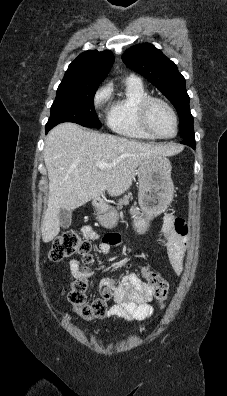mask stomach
I'll return each instance as SVG.
<instances>
[{"mask_svg": "<svg viewBox=\"0 0 227 396\" xmlns=\"http://www.w3.org/2000/svg\"><path fill=\"white\" fill-rule=\"evenodd\" d=\"M172 166L165 156H154L144 160L136 170L138 176V202L145 218L134 222L137 233L144 234L149 220L166 210L174 196V184L171 179ZM98 221L106 228L117 224L118 214L101 200L94 201Z\"/></svg>", "mask_w": 227, "mask_h": 396, "instance_id": "0dacf381", "label": "stomach"}]
</instances>
